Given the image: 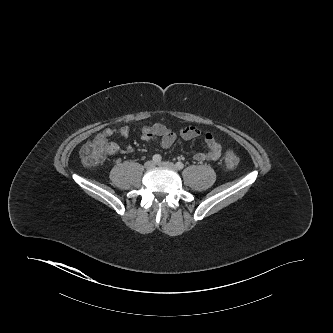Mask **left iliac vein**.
Segmentation results:
<instances>
[{"mask_svg":"<svg viewBox=\"0 0 333 333\" xmlns=\"http://www.w3.org/2000/svg\"><path fill=\"white\" fill-rule=\"evenodd\" d=\"M158 165L162 166V167L174 169V170L177 169L176 166L173 163H171V162H160V163H158Z\"/></svg>","mask_w":333,"mask_h":333,"instance_id":"left-iliac-vein-1","label":"left iliac vein"}]
</instances>
